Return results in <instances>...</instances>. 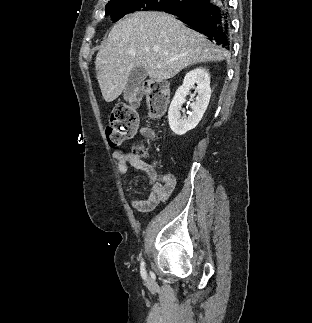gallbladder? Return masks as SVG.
I'll use <instances>...</instances> for the list:
<instances>
[{"instance_id":"obj_1","label":"gallbladder","mask_w":312,"mask_h":323,"mask_svg":"<svg viewBox=\"0 0 312 323\" xmlns=\"http://www.w3.org/2000/svg\"><path fill=\"white\" fill-rule=\"evenodd\" d=\"M147 76V70H145L144 66H135V68H132L123 94L126 102H128L132 96H136L137 92H139L141 82H143Z\"/></svg>"}]
</instances>
